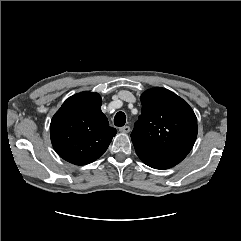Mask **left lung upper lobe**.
I'll return each mask as SVG.
<instances>
[{
    "mask_svg": "<svg viewBox=\"0 0 241 241\" xmlns=\"http://www.w3.org/2000/svg\"><path fill=\"white\" fill-rule=\"evenodd\" d=\"M141 104L142 113L131 133L133 144L154 152L187 155L198 130L192 108L161 87L145 91Z\"/></svg>",
    "mask_w": 241,
    "mask_h": 241,
    "instance_id": "5c2ea615",
    "label": "left lung upper lobe"
}]
</instances>
